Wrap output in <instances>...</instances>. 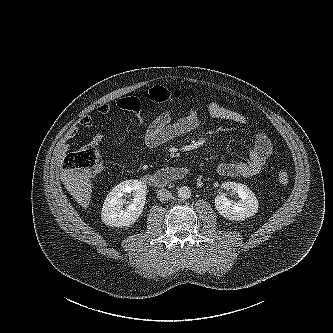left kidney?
<instances>
[{
  "instance_id": "5707ae66",
  "label": "left kidney",
  "mask_w": 333,
  "mask_h": 333,
  "mask_svg": "<svg viewBox=\"0 0 333 333\" xmlns=\"http://www.w3.org/2000/svg\"><path fill=\"white\" fill-rule=\"evenodd\" d=\"M222 187L227 190L231 189L240 197L239 201L234 202L229 200L224 194L216 196V210L224 218L236 221L245 220L258 212V200L249 187L236 182H224Z\"/></svg>"
}]
</instances>
